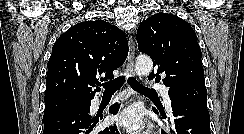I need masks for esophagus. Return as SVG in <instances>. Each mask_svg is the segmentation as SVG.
<instances>
[{
	"label": "esophagus",
	"instance_id": "34e87169",
	"mask_svg": "<svg viewBox=\"0 0 244 134\" xmlns=\"http://www.w3.org/2000/svg\"><path fill=\"white\" fill-rule=\"evenodd\" d=\"M129 53L127 57V76L131 77L134 75V54H135V43L133 37H129Z\"/></svg>",
	"mask_w": 244,
	"mask_h": 134
}]
</instances>
